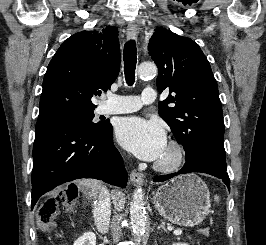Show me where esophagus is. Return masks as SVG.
Returning a JSON list of instances; mask_svg holds the SVG:
<instances>
[{
	"label": "esophagus",
	"instance_id": "34e87169",
	"mask_svg": "<svg viewBox=\"0 0 266 245\" xmlns=\"http://www.w3.org/2000/svg\"><path fill=\"white\" fill-rule=\"evenodd\" d=\"M138 27L135 22H130L127 27V38L128 39H135L138 36ZM130 180L133 184H139L141 185L144 181V177L141 173H138L136 171H132L130 173Z\"/></svg>",
	"mask_w": 266,
	"mask_h": 245
}]
</instances>
